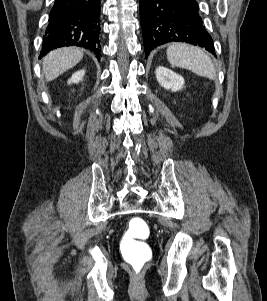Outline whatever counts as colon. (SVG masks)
Listing matches in <instances>:
<instances>
[{"label":"colon","instance_id":"obj_1","mask_svg":"<svg viewBox=\"0 0 267 301\" xmlns=\"http://www.w3.org/2000/svg\"><path fill=\"white\" fill-rule=\"evenodd\" d=\"M149 236V227L140 217H133L121 243V251L125 261L132 269L141 272L151 259V249L144 241Z\"/></svg>","mask_w":267,"mask_h":301}]
</instances>
